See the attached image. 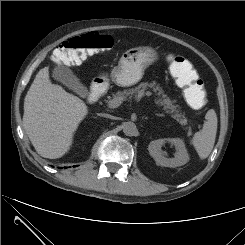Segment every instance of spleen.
Wrapping results in <instances>:
<instances>
[{"label": "spleen", "mask_w": 245, "mask_h": 245, "mask_svg": "<svg viewBox=\"0 0 245 245\" xmlns=\"http://www.w3.org/2000/svg\"><path fill=\"white\" fill-rule=\"evenodd\" d=\"M205 122L202 130L196 132L192 144L201 159H206L214 147L217 133V115L210 109L205 115Z\"/></svg>", "instance_id": "obj_1"}]
</instances>
